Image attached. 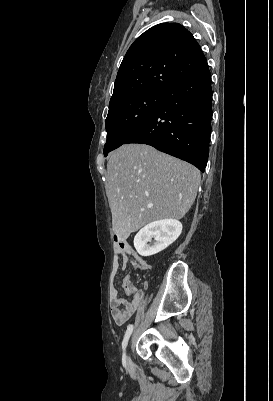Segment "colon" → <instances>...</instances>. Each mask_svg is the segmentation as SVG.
Returning a JSON list of instances; mask_svg holds the SVG:
<instances>
[{
	"instance_id": "obj_1",
	"label": "colon",
	"mask_w": 273,
	"mask_h": 401,
	"mask_svg": "<svg viewBox=\"0 0 273 401\" xmlns=\"http://www.w3.org/2000/svg\"><path fill=\"white\" fill-rule=\"evenodd\" d=\"M120 257L125 255L123 250L118 252ZM142 269H140V274H145V270L149 269L150 264L147 261L142 262L141 264ZM136 286L135 284H122L120 288H116L114 294L116 297H123L125 293H135Z\"/></svg>"
}]
</instances>
